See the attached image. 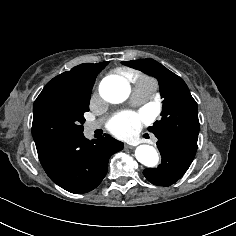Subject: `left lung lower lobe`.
<instances>
[{
	"label": "left lung lower lobe",
	"instance_id": "0a47b994",
	"mask_svg": "<svg viewBox=\"0 0 236 236\" xmlns=\"http://www.w3.org/2000/svg\"><path fill=\"white\" fill-rule=\"evenodd\" d=\"M157 146L162 156L161 164L143 171L154 185L170 186L179 180L191 165L197 150V141L174 135L158 138Z\"/></svg>",
	"mask_w": 236,
	"mask_h": 236
}]
</instances>
